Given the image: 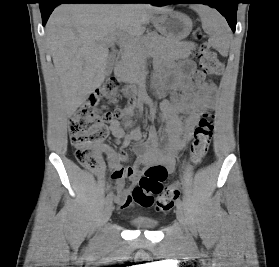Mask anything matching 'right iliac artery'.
Here are the masks:
<instances>
[{
    "label": "right iliac artery",
    "instance_id": "82829eb1",
    "mask_svg": "<svg viewBox=\"0 0 279 267\" xmlns=\"http://www.w3.org/2000/svg\"><path fill=\"white\" fill-rule=\"evenodd\" d=\"M108 203H112V194H108L107 197H106V204Z\"/></svg>",
    "mask_w": 279,
    "mask_h": 267
}]
</instances>
